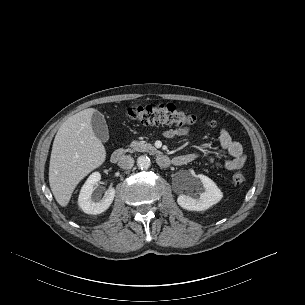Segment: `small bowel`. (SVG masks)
Wrapping results in <instances>:
<instances>
[{
    "label": "small bowel",
    "instance_id": "obj_1",
    "mask_svg": "<svg viewBox=\"0 0 305 305\" xmlns=\"http://www.w3.org/2000/svg\"><path fill=\"white\" fill-rule=\"evenodd\" d=\"M190 133V129L188 127H166L162 131L163 137L167 139H172L175 137H183L187 136ZM219 144H220V152L227 153L230 158L225 160L222 163L217 162L213 157L210 158V161L217 166H221L227 171H234L240 169L246 162V155L244 154L242 145L232 139L229 132L222 128L219 131ZM201 157V153L199 152H191L182 155H178L173 157L174 165L181 166L188 163H191Z\"/></svg>",
    "mask_w": 305,
    "mask_h": 305
}]
</instances>
